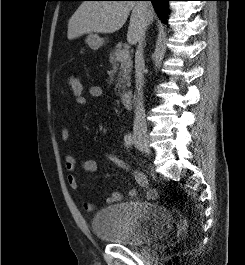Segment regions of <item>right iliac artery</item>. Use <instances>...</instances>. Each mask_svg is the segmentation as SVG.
<instances>
[{"label": "right iliac artery", "mask_w": 245, "mask_h": 265, "mask_svg": "<svg viewBox=\"0 0 245 265\" xmlns=\"http://www.w3.org/2000/svg\"><path fill=\"white\" fill-rule=\"evenodd\" d=\"M124 144L127 147H131L132 146V144H133V136L131 135V133L126 134L124 136Z\"/></svg>", "instance_id": "obj_1"}]
</instances>
